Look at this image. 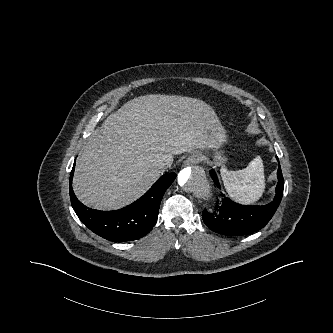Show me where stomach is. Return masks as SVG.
<instances>
[{"label": "stomach", "mask_w": 333, "mask_h": 333, "mask_svg": "<svg viewBox=\"0 0 333 333\" xmlns=\"http://www.w3.org/2000/svg\"><path fill=\"white\" fill-rule=\"evenodd\" d=\"M213 144L214 146L211 148L213 153V158L215 160L216 165H220L225 163L227 159L222 156L221 152L219 151L220 146L226 141L225 131L222 129L220 125L216 127L213 135Z\"/></svg>", "instance_id": "0dacf381"}]
</instances>
